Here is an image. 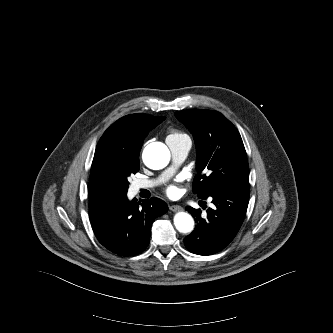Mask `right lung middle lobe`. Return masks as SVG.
Masks as SVG:
<instances>
[{
    "label": "right lung middle lobe",
    "instance_id": "right-lung-middle-lobe-1",
    "mask_svg": "<svg viewBox=\"0 0 333 333\" xmlns=\"http://www.w3.org/2000/svg\"><path fill=\"white\" fill-rule=\"evenodd\" d=\"M139 170V155L124 156L117 164V171L120 176L119 197L126 195L128 190V177Z\"/></svg>",
    "mask_w": 333,
    "mask_h": 333
}]
</instances>
